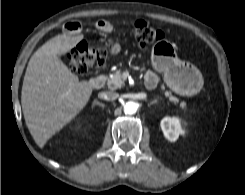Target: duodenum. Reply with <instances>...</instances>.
<instances>
[{
    "mask_svg": "<svg viewBox=\"0 0 245 195\" xmlns=\"http://www.w3.org/2000/svg\"><path fill=\"white\" fill-rule=\"evenodd\" d=\"M105 81H106V77L104 75H98V76H95V77L91 78L89 80V84L93 88H100V87H102L104 85ZM147 86L150 87V88H153L156 85L153 84L151 86H149V85H147Z\"/></svg>",
    "mask_w": 245,
    "mask_h": 195,
    "instance_id": "1",
    "label": "duodenum"
}]
</instances>
